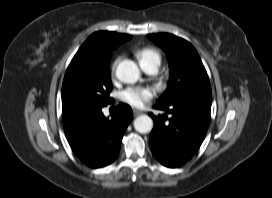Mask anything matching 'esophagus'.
Here are the masks:
<instances>
[{
  "mask_svg": "<svg viewBox=\"0 0 272 198\" xmlns=\"http://www.w3.org/2000/svg\"><path fill=\"white\" fill-rule=\"evenodd\" d=\"M133 114H134V117H137V116L143 114V112L140 110H137V109H133Z\"/></svg>",
  "mask_w": 272,
  "mask_h": 198,
  "instance_id": "1",
  "label": "esophagus"
}]
</instances>
